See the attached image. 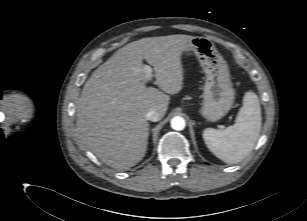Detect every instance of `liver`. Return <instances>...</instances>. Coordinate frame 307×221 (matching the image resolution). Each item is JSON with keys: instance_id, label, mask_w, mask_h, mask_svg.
<instances>
[{"instance_id": "1", "label": "liver", "mask_w": 307, "mask_h": 221, "mask_svg": "<svg viewBox=\"0 0 307 221\" xmlns=\"http://www.w3.org/2000/svg\"><path fill=\"white\" fill-rule=\"evenodd\" d=\"M192 36L142 38L120 48L85 83L77 102L79 140L108 166L125 170L144 157L146 113L165 116L170 96L183 87L181 55ZM143 59L153 66L159 89L146 86Z\"/></svg>"}]
</instances>
